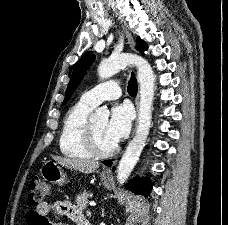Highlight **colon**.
<instances>
[{
    "instance_id": "colon-1",
    "label": "colon",
    "mask_w": 228,
    "mask_h": 225,
    "mask_svg": "<svg viewBox=\"0 0 228 225\" xmlns=\"http://www.w3.org/2000/svg\"><path fill=\"white\" fill-rule=\"evenodd\" d=\"M50 188L39 177H33L29 183L28 203L32 207H38L42 204L44 197L48 196Z\"/></svg>"
}]
</instances>
